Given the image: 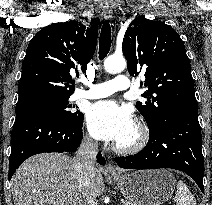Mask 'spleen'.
<instances>
[{"label": "spleen", "mask_w": 212, "mask_h": 205, "mask_svg": "<svg viewBox=\"0 0 212 205\" xmlns=\"http://www.w3.org/2000/svg\"><path fill=\"white\" fill-rule=\"evenodd\" d=\"M177 205H196V200L186 184L179 180L177 183V191L174 197Z\"/></svg>", "instance_id": "obj_1"}]
</instances>
